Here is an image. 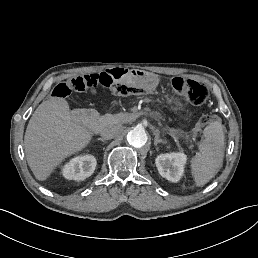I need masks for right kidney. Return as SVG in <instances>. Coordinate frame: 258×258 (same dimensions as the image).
I'll use <instances>...</instances> for the list:
<instances>
[{
	"mask_svg": "<svg viewBox=\"0 0 258 258\" xmlns=\"http://www.w3.org/2000/svg\"><path fill=\"white\" fill-rule=\"evenodd\" d=\"M96 165L97 159L93 155H75L62 166L61 174L67 180L82 181L93 174Z\"/></svg>",
	"mask_w": 258,
	"mask_h": 258,
	"instance_id": "ca27d5eb",
	"label": "right kidney"
}]
</instances>
